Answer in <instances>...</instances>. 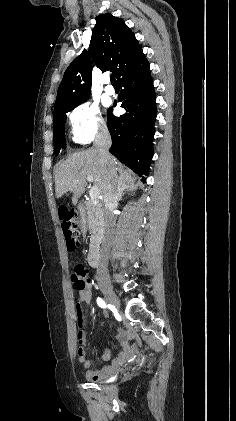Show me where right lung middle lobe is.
Segmentation results:
<instances>
[{"label": "right lung middle lobe", "mask_w": 236, "mask_h": 421, "mask_svg": "<svg viewBox=\"0 0 236 421\" xmlns=\"http://www.w3.org/2000/svg\"><path fill=\"white\" fill-rule=\"evenodd\" d=\"M86 100V99H85ZM85 100L67 104L54 109L53 114V129H54V152L57 156L61 148H65L64 126L67 119V113L72 111L75 107L80 105Z\"/></svg>", "instance_id": "right-lung-middle-lobe-1"}]
</instances>
